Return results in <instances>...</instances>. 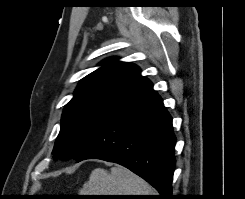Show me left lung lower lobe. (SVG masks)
Masks as SVG:
<instances>
[{
    "label": "left lung lower lobe",
    "instance_id": "left-lung-lower-lobe-1",
    "mask_svg": "<svg viewBox=\"0 0 245 199\" xmlns=\"http://www.w3.org/2000/svg\"><path fill=\"white\" fill-rule=\"evenodd\" d=\"M176 138L172 118L151 86L107 122L77 158L125 166L150 183L159 199L171 197Z\"/></svg>",
    "mask_w": 245,
    "mask_h": 199
}]
</instances>
